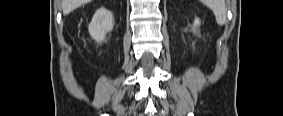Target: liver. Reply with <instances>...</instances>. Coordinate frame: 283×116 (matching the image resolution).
<instances>
[{
	"instance_id": "obj_1",
	"label": "liver",
	"mask_w": 283,
	"mask_h": 116,
	"mask_svg": "<svg viewBox=\"0 0 283 116\" xmlns=\"http://www.w3.org/2000/svg\"><path fill=\"white\" fill-rule=\"evenodd\" d=\"M90 2V0H61V7L64 15H68L81 5Z\"/></svg>"
}]
</instances>
